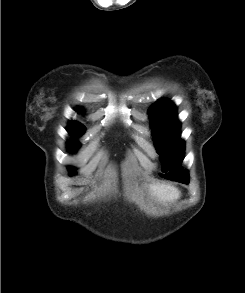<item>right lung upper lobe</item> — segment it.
<instances>
[{
	"mask_svg": "<svg viewBox=\"0 0 245 293\" xmlns=\"http://www.w3.org/2000/svg\"><path fill=\"white\" fill-rule=\"evenodd\" d=\"M69 129H85V127L81 123L74 121L69 124Z\"/></svg>",
	"mask_w": 245,
	"mask_h": 293,
	"instance_id": "1",
	"label": "right lung upper lobe"
}]
</instances>
